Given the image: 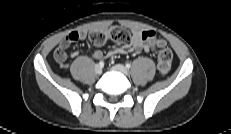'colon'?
Segmentation results:
<instances>
[{"instance_id":"colon-1","label":"colon","mask_w":231,"mask_h":134,"mask_svg":"<svg viewBox=\"0 0 231 134\" xmlns=\"http://www.w3.org/2000/svg\"><path fill=\"white\" fill-rule=\"evenodd\" d=\"M89 38L94 45L101 46L107 39H111L116 43L127 42L130 39V33L120 26H113L107 31L93 32L90 34ZM156 44L160 48L157 67L161 75H166L171 68L173 53L167 47L164 40L158 39Z\"/></svg>"}]
</instances>
